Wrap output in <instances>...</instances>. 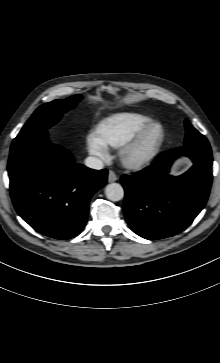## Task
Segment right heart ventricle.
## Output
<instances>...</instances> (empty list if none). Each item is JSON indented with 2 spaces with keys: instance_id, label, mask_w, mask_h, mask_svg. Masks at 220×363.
Listing matches in <instances>:
<instances>
[{
  "instance_id": "e07e8e85",
  "label": "right heart ventricle",
  "mask_w": 220,
  "mask_h": 363,
  "mask_svg": "<svg viewBox=\"0 0 220 363\" xmlns=\"http://www.w3.org/2000/svg\"><path fill=\"white\" fill-rule=\"evenodd\" d=\"M151 122L149 116L121 112L102 120L96 133L106 145L118 148Z\"/></svg>"
}]
</instances>
